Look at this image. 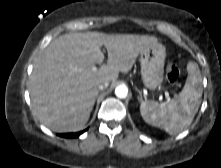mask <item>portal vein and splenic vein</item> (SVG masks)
Here are the masks:
<instances>
[{"label":"portal vein and splenic vein","mask_w":221,"mask_h":168,"mask_svg":"<svg viewBox=\"0 0 221 168\" xmlns=\"http://www.w3.org/2000/svg\"><path fill=\"white\" fill-rule=\"evenodd\" d=\"M92 70H93V71H96L97 68H96L95 66H93V67H92ZM165 97H166V101H165L163 104H167L168 101L170 100V96H169L168 92L165 93Z\"/></svg>","instance_id":"18ae733b"}]
</instances>
